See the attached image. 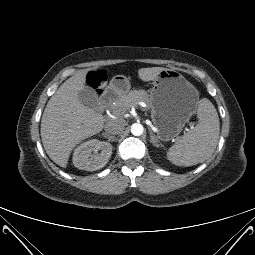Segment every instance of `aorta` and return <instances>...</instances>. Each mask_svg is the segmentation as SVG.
Segmentation results:
<instances>
[{
    "label": "aorta",
    "mask_w": 255,
    "mask_h": 255,
    "mask_svg": "<svg viewBox=\"0 0 255 255\" xmlns=\"http://www.w3.org/2000/svg\"><path fill=\"white\" fill-rule=\"evenodd\" d=\"M144 132V128L140 123H134L131 126V133L134 136H141Z\"/></svg>",
    "instance_id": "obj_1"
}]
</instances>
